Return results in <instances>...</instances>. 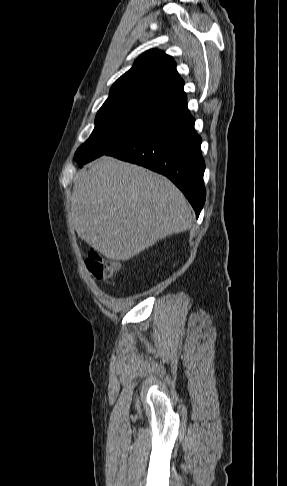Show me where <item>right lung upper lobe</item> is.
Wrapping results in <instances>:
<instances>
[{"instance_id": "obj_1", "label": "right lung upper lobe", "mask_w": 287, "mask_h": 486, "mask_svg": "<svg viewBox=\"0 0 287 486\" xmlns=\"http://www.w3.org/2000/svg\"><path fill=\"white\" fill-rule=\"evenodd\" d=\"M183 87L173 58L153 49L113 84L103 106L143 104L174 112L187 106Z\"/></svg>"}]
</instances>
